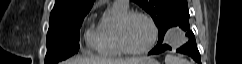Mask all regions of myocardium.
Returning <instances> with one entry per match:
<instances>
[{"label":"myocardium","instance_id":"1","mask_svg":"<svg viewBox=\"0 0 242 64\" xmlns=\"http://www.w3.org/2000/svg\"><path fill=\"white\" fill-rule=\"evenodd\" d=\"M134 17L144 18L145 20L148 21V23L150 24L151 29H152L151 40H150L149 44L142 49L131 48L127 44V41H126V38H125L126 26H127L128 22ZM117 37H118L119 46L124 53L130 54V55H142V54L149 52L154 47V45L156 44V41H157V38H158V27H157L155 21L153 20V18L150 15H148L147 13L140 12V11H132V12L126 13L120 19V21L118 23Z\"/></svg>","mask_w":242,"mask_h":64}]
</instances>
